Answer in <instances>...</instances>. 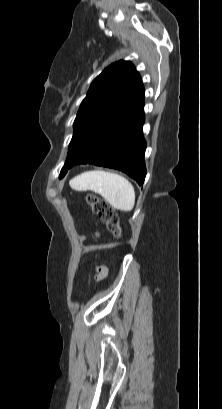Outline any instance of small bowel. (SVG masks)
Wrapping results in <instances>:
<instances>
[{
    "label": "small bowel",
    "mask_w": 222,
    "mask_h": 409,
    "mask_svg": "<svg viewBox=\"0 0 222 409\" xmlns=\"http://www.w3.org/2000/svg\"><path fill=\"white\" fill-rule=\"evenodd\" d=\"M113 246H114V244H109V245H108L109 248H111V247H113ZM98 266H99V267H97V270H100V272H99L97 278H102V277H104V275H105V271L102 270V269H104V268L107 266V263H106L104 260H101V261L98 263Z\"/></svg>",
    "instance_id": "small-bowel-1"
}]
</instances>
